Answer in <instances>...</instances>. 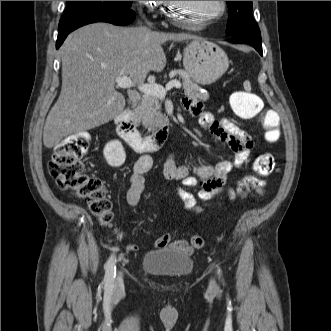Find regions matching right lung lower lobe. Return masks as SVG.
Returning a JSON list of instances; mask_svg holds the SVG:
<instances>
[{
	"mask_svg": "<svg viewBox=\"0 0 331 331\" xmlns=\"http://www.w3.org/2000/svg\"><path fill=\"white\" fill-rule=\"evenodd\" d=\"M134 19L135 13L131 9L114 10L81 18L58 29L56 48L58 49L61 46V44L70 32L81 26L94 22H107L114 25L125 26L133 22Z\"/></svg>",
	"mask_w": 331,
	"mask_h": 331,
	"instance_id": "98d812e1",
	"label": "right lung lower lobe"
}]
</instances>
